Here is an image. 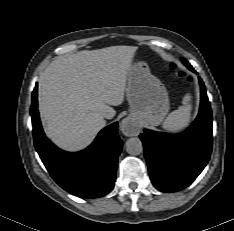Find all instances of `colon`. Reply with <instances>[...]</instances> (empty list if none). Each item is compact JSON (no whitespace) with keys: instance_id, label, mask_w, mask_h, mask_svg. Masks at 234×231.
Wrapping results in <instances>:
<instances>
[{"instance_id":"1","label":"colon","mask_w":234,"mask_h":231,"mask_svg":"<svg viewBox=\"0 0 234 231\" xmlns=\"http://www.w3.org/2000/svg\"><path fill=\"white\" fill-rule=\"evenodd\" d=\"M172 69H174L177 73V75L181 78L187 79L188 81L191 80V77L187 74V72L183 69H178L177 66H172Z\"/></svg>"}]
</instances>
